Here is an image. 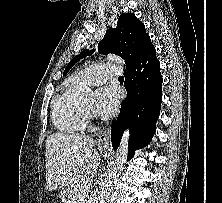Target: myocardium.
Returning <instances> with one entry per match:
<instances>
[{"label":"myocardium","instance_id":"1","mask_svg":"<svg viewBox=\"0 0 222 203\" xmlns=\"http://www.w3.org/2000/svg\"><path fill=\"white\" fill-rule=\"evenodd\" d=\"M84 108L87 116H93V111L92 108H90L85 102H84Z\"/></svg>","mask_w":222,"mask_h":203}]
</instances>
